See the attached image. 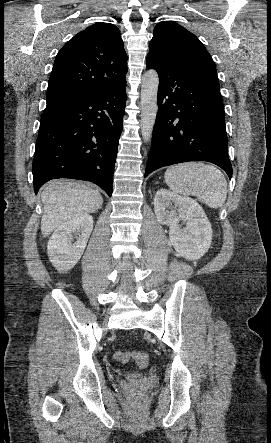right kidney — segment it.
I'll return each instance as SVG.
<instances>
[{"mask_svg":"<svg viewBox=\"0 0 271 443\" xmlns=\"http://www.w3.org/2000/svg\"><path fill=\"white\" fill-rule=\"evenodd\" d=\"M93 229L90 214L76 216L73 220L61 223L53 231L47 245V253L54 267L64 273L79 261ZM74 237L76 241L72 243Z\"/></svg>","mask_w":271,"mask_h":443,"instance_id":"right-kidney-1","label":"right kidney"}]
</instances>
